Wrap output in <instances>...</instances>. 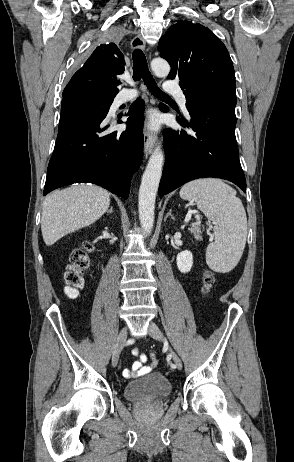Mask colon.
<instances>
[{
  "label": "colon",
  "instance_id": "colon-1",
  "mask_svg": "<svg viewBox=\"0 0 294 462\" xmlns=\"http://www.w3.org/2000/svg\"><path fill=\"white\" fill-rule=\"evenodd\" d=\"M92 244L85 243L82 249L75 250L70 257V262L66 267L64 274L65 293L70 298H75L78 291L84 286V273L90 266L88 253L92 251ZM214 283V277L210 272H206L203 279V293L210 291ZM151 365L155 366L158 363L156 355L150 356Z\"/></svg>",
  "mask_w": 294,
  "mask_h": 462
}]
</instances>
